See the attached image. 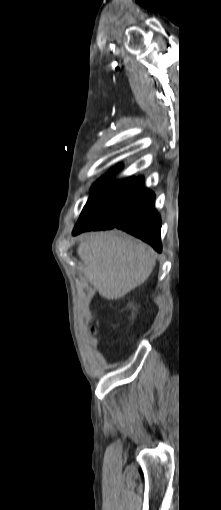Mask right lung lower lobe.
Returning <instances> with one entry per match:
<instances>
[{
    "label": "right lung lower lobe",
    "mask_w": 221,
    "mask_h": 510,
    "mask_svg": "<svg viewBox=\"0 0 221 510\" xmlns=\"http://www.w3.org/2000/svg\"><path fill=\"white\" fill-rule=\"evenodd\" d=\"M154 199V194L143 187V178L138 177L118 218H103L86 205L72 234L77 235L84 231L105 230L115 227L142 239L156 251L161 252V219L154 209Z\"/></svg>",
    "instance_id": "right-lung-lower-lobe-1"
}]
</instances>
